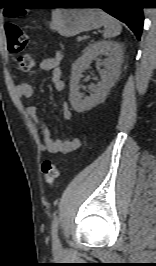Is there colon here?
<instances>
[{
	"label": "colon",
	"mask_w": 156,
	"mask_h": 266,
	"mask_svg": "<svg viewBox=\"0 0 156 266\" xmlns=\"http://www.w3.org/2000/svg\"><path fill=\"white\" fill-rule=\"evenodd\" d=\"M5 32L8 51L13 55L20 54L28 43L26 33L15 24H7L5 26ZM15 62L17 69L20 71H28L35 66V59L29 55H18L15 58ZM42 173L46 184L52 187L59 175L57 163L45 160L42 163Z\"/></svg>",
	"instance_id": "colon-1"
}]
</instances>
